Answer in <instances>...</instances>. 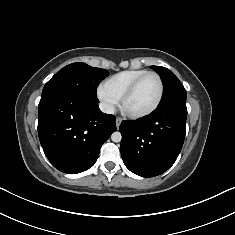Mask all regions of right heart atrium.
<instances>
[{"instance_id":"right-heart-atrium-1","label":"right heart atrium","mask_w":235,"mask_h":235,"mask_svg":"<svg viewBox=\"0 0 235 235\" xmlns=\"http://www.w3.org/2000/svg\"><path fill=\"white\" fill-rule=\"evenodd\" d=\"M96 94L102 109L107 113H113L119 105V99L109 92L103 85H99L97 87Z\"/></svg>"}]
</instances>
